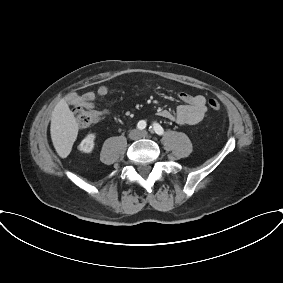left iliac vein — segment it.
Masks as SVG:
<instances>
[{"mask_svg":"<svg viewBox=\"0 0 283 283\" xmlns=\"http://www.w3.org/2000/svg\"><path fill=\"white\" fill-rule=\"evenodd\" d=\"M147 135H148V133H147V131H145V130H143V131L140 132V137H141V138H145V137H147Z\"/></svg>","mask_w":283,"mask_h":283,"instance_id":"1","label":"left iliac vein"}]
</instances>
